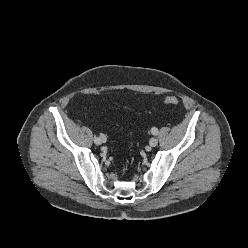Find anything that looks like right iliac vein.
Instances as JSON below:
<instances>
[{"label": "right iliac vein", "instance_id": "63e3f726", "mask_svg": "<svg viewBox=\"0 0 248 248\" xmlns=\"http://www.w3.org/2000/svg\"><path fill=\"white\" fill-rule=\"evenodd\" d=\"M99 139H100V144L106 142L105 138L99 137Z\"/></svg>", "mask_w": 248, "mask_h": 248}]
</instances>
